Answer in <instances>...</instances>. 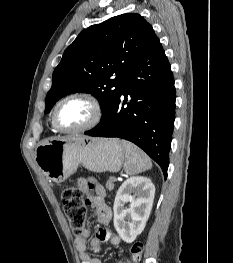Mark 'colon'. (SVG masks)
Instances as JSON below:
<instances>
[{"label": "colon", "instance_id": "colon-1", "mask_svg": "<svg viewBox=\"0 0 233 263\" xmlns=\"http://www.w3.org/2000/svg\"><path fill=\"white\" fill-rule=\"evenodd\" d=\"M92 187L93 183L90 182ZM63 210L76 236L83 233L86 222V206L83 202L81 191L74 187H66L61 194ZM145 244L143 242H134L131 246V258L134 263H138L144 253Z\"/></svg>", "mask_w": 233, "mask_h": 263}]
</instances>
